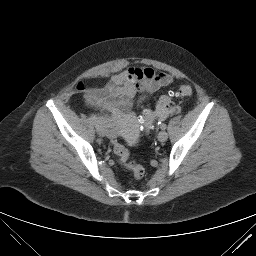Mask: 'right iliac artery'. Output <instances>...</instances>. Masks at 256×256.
Wrapping results in <instances>:
<instances>
[{"mask_svg": "<svg viewBox=\"0 0 256 256\" xmlns=\"http://www.w3.org/2000/svg\"><path fill=\"white\" fill-rule=\"evenodd\" d=\"M90 120H91V122L93 123V125H94L95 127L99 126V125H98V124H99V120H98V118L96 117V115L91 114V115H90Z\"/></svg>", "mask_w": 256, "mask_h": 256, "instance_id": "82829eb1", "label": "right iliac artery"}]
</instances>
